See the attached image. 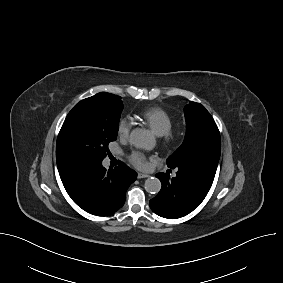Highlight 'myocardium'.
Instances as JSON below:
<instances>
[{
    "instance_id": "1",
    "label": "myocardium",
    "mask_w": 283,
    "mask_h": 283,
    "mask_svg": "<svg viewBox=\"0 0 283 283\" xmlns=\"http://www.w3.org/2000/svg\"><path fill=\"white\" fill-rule=\"evenodd\" d=\"M161 137L163 138V142L166 145L173 143L176 139V135L171 130L161 135Z\"/></svg>"
}]
</instances>
